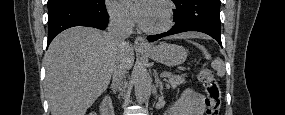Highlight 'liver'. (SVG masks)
I'll list each match as a JSON object with an SVG mask.
<instances>
[{
	"label": "liver",
	"mask_w": 285,
	"mask_h": 115,
	"mask_svg": "<svg viewBox=\"0 0 285 115\" xmlns=\"http://www.w3.org/2000/svg\"><path fill=\"white\" fill-rule=\"evenodd\" d=\"M195 32L177 38H196ZM117 57L108 33L89 27H73L61 32L45 54V91L51 115H85L87 109L107 89ZM126 69L134 63V49H124Z\"/></svg>",
	"instance_id": "obj_1"
}]
</instances>
